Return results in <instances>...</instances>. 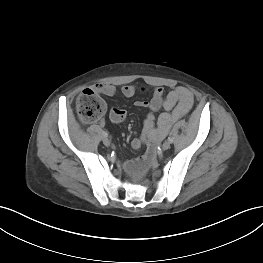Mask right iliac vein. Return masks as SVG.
Segmentation results:
<instances>
[{
	"label": "right iliac vein",
	"instance_id": "obj_1",
	"mask_svg": "<svg viewBox=\"0 0 263 263\" xmlns=\"http://www.w3.org/2000/svg\"><path fill=\"white\" fill-rule=\"evenodd\" d=\"M103 144L105 145V146H109L110 145V141H109V139L108 138H103Z\"/></svg>",
	"mask_w": 263,
	"mask_h": 263
}]
</instances>
